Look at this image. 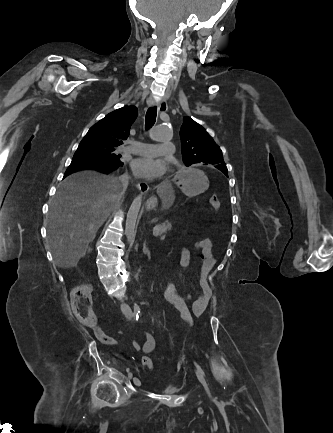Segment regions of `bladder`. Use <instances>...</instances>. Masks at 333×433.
Returning a JSON list of instances; mask_svg holds the SVG:
<instances>
[{
  "label": "bladder",
  "mask_w": 333,
  "mask_h": 433,
  "mask_svg": "<svg viewBox=\"0 0 333 433\" xmlns=\"http://www.w3.org/2000/svg\"><path fill=\"white\" fill-rule=\"evenodd\" d=\"M180 387L175 385H167L163 388V393L168 395H176L180 392Z\"/></svg>",
  "instance_id": "bladder-1"
}]
</instances>
